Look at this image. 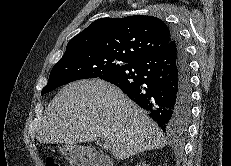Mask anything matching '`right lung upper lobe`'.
Wrapping results in <instances>:
<instances>
[{
    "instance_id": "obj_1",
    "label": "right lung upper lobe",
    "mask_w": 231,
    "mask_h": 166,
    "mask_svg": "<svg viewBox=\"0 0 231 166\" xmlns=\"http://www.w3.org/2000/svg\"><path fill=\"white\" fill-rule=\"evenodd\" d=\"M171 40L172 30L157 17L102 18L73 37L64 55L87 50L134 61L162 50Z\"/></svg>"
}]
</instances>
